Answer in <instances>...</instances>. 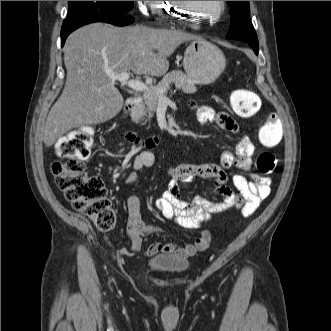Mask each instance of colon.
<instances>
[{
  "mask_svg": "<svg viewBox=\"0 0 331 331\" xmlns=\"http://www.w3.org/2000/svg\"><path fill=\"white\" fill-rule=\"evenodd\" d=\"M230 103L236 115L248 118L255 115L261 108L259 96L246 89L232 92ZM282 139V120L272 114L262 124L259 140L265 147H274ZM94 143V133L89 127L73 130L60 138L56 143L55 160L51 165L57 187L63 192L73 208L86 216L101 231L111 230L116 221L112 203L107 197V189L101 178L87 173L85 160L90 156ZM277 159L272 152L263 151L256 158V169L261 174H271L275 171ZM209 241L203 237L197 238L195 246L203 250Z\"/></svg>",
  "mask_w": 331,
  "mask_h": 331,
  "instance_id": "colon-1",
  "label": "colon"
}]
</instances>
